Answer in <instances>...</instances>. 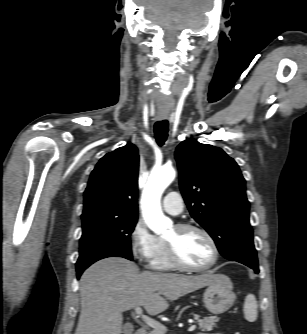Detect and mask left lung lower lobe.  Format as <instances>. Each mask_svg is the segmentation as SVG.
Here are the masks:
<instances>
[{"label":"left lung lower lobe","instance_id":"0a47b994","mask_svg":"<svg viewBox=\"0 0 307 334\" xmlns=\"http://www.w3.org/2000/svg\"><path fill=\"white\" fill-rule=\"evenodd\" d=\"M243 255L246 256L248 258V260H242V259H231V261H237L240 262L242 264H245L247 266H249L250 268L254 269L256 273L259 272L258 269V262H257V256H256V250H245L243 251Z\"/></svg>","mask_w":307,"mask_h":334}]
</instances>
